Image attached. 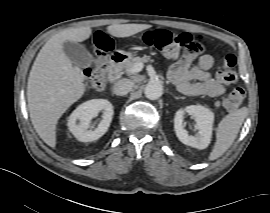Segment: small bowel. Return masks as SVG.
I'll list each match as a JSON object with an SVG mask.
<instances>
[{
    "label": "small bowel",
    "instance_id": "obj_1",
    "mask_svg": "<svg viewBox=\"0 0 270 213\" xmlns=\"http://www.w3.org/2000/svg\"><path fill=\"white\" fill-rule=\"evenodd\" d=\"M213 64L209 54L202 55L196 63H192L191 56H184L170 66L169 78L186 95L219 96L225 87L209 72Z\"/></svg>",
    "mask_w": 270,
    "mask_h": 213
}]
</instances>
